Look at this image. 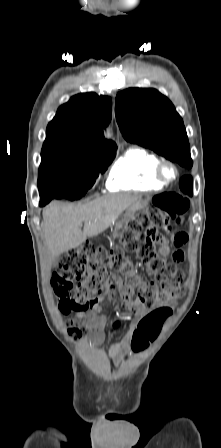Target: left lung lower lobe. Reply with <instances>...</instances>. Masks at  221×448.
Returning a JSON list of instances; mask_svg holds the SVG:
<instances>
[{"label":"left lung lower lobe","mask_w":221,"mask_h":448,"mask_svg":"<svg viewBox=\"0 0 221 448\" xmlns=\"http://www.w3.org/2000/svg\"><path fill=\"white\" fill-rule=\"evenodd\" d=\"M180 189L186 193L192 196L193 194V182L191 176H184L180 179L179 182Z\"/></svg>","instance_id":"1"}]
</instances>
